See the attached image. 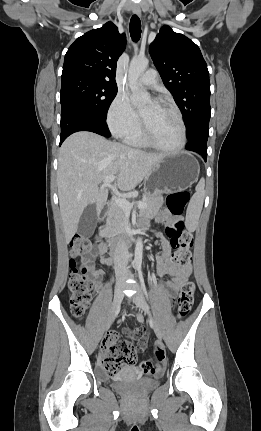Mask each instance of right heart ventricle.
<instances>
[{"instance_id":"right-heart-ventricle-1","label":"right heart ventricle","mask_w":261,"mask_h":431,"mask_svg":"<svg viewBox=\"0 0 261 431\" xmlns=\"http://www.w3.org/2000/svg\"><path fill=\"white\" fill-rule=\"evenodd\" d=\"M127 141L129 144L133 145V146H137V147H146L149 144L146 142L142 131L139 129L136 132H134L133 134L129 135L127 137Z\"/></svg>"}]
</instances>
